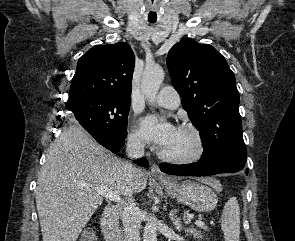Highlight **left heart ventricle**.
I'll use <instances>...</instances> for the list:
<instances>
[{
    "instance_id": "b2bd125f",
    "label": "left heart ventricle",
    "mask_w": 295,
    "mask_h": 241,
    "mask_svg": "<svg viewBox=\"0 0 295 241\" xmlns=\"http://www.w3.org/2000/svg\"><path fill=\"white\" fill-rule=\"evenodd\" d=\"M162 150L172 156H187L195 150V141L189 132L177 129L173 140Z\"/></svg>"
}]
</instances>
